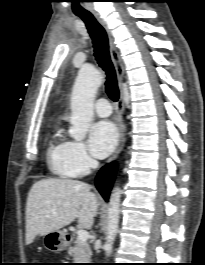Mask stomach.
Returning <instances> with one entry per match:
<instances>
[{"label": "stomach", "mask_w": 205, "mask_h": 265, "mask_svg": "<svg viewBox=\"0 0 205 265\" xmlns=\"http://www.w3.org/2000/svg\"><path fill=\"white\" fill-rule=\"evenodd\" d=\"M43 244L51 252L62 251L67 246L65 236L61 231H53L44 235Z\"/></svg>", "instance_id": "obj_1"}]
</instances>
